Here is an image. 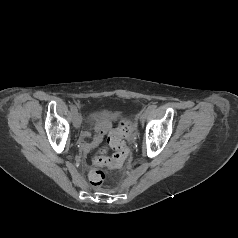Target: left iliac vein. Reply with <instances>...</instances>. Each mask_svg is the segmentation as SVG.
<instances>
[{
    "mask_svg": "<svg viewBox=\"0 0 238 238\" xmlns=\"http://www.w3.org/2000/svg\"><path fill=\"white\" fill-rule=\"evenodd\" d=\"M147 115H148V111H147V110L144 111V112H142V113L140 114V122H141V123H144V121H145Z\"/></svg>",
    "mask_w": 238,
    "mask_h": 238,
    "instance_id": "left-iliac-vein-1",
    "label": "left iliac vein"
}]
</instances>
